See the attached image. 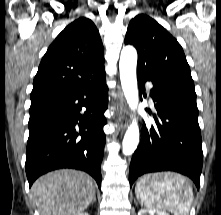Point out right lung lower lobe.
<instances>
[{
    "label": "right lung lower lobe",
    "mask_w": 221,
    "mask_h": 215,
    "mask_svg": "<svg viewBox=\"0 0 221 215\" xmlns=\"http://www.w3.org/2000/svg\"><path fill=\"white\" fill-rule=\"evenodd\" d=\"M107 95L104 75L84 88L30 110L25 163L30 187L39 176L60 168L83 170L100 187ZM82 107L87 109L84 114L80 113Z\"/></svg>",
    "instance_id": "1"
}]
</instances>
